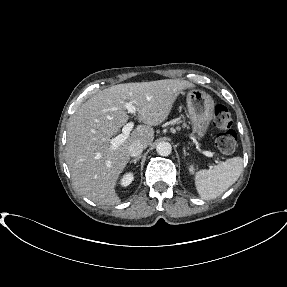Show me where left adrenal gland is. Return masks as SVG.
Segmentation results:
<instances>
[{
	"mask_svg": "<svg viewBox=\"0 0 287 287\" xmlns=\"http://www.w3.org/2000/svg\"><path fill=\"white\" fill-rule=\"evenodd\" d=\"M183 152H184V156L189 155V154L186 152L185 148H183Z\"/></svg>",
	"mask_w": 287,
	"mask_h": 287,
	"instance_id": "1",
	"label": "left adrenal gland"
}]
</instances>
